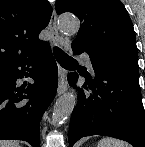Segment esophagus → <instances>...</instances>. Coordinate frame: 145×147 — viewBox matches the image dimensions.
<instances>
[{
  "instance_id": "obj_1",
  "label": "esophagus",
  "mask_w": 145,
  "mask_h": 147,
  "mask_svg": "<svg viewBox=\"0 0 145 147\" xmlns=\"http://www.w3.org/2000/svg\"><path fill=\"white\" fill-rule=\"evenodd\" d=\"M48 28L51 33L53 43L57 46H63L62 39L57 29V15H56L55 10H53ZM66 90H67L66 75L64 71L60 69L57 94L62 95L63 93H65Z\"/></svg>"
}]
</instances>
